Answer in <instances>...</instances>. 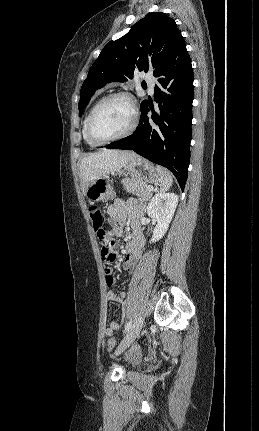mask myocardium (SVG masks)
Segmentation results:
<instances>
[{
    "mask_svg": "<svg viewBox=\"0 0 259 431\" xmlns=\"http://www.w3.org/2000/svg\"><path fill=\"white\" fill-rule=\"evenodd\" d=\"M114 99H124L129 103V105L131 107V111H132V123L125 132H123L117 136L107 138V139H99L94 135V132H93V123H94L95 117H96L97 113L99 112V110L106 103H108L109 101L114 100ZM138 124H139V115L137 112L136 103H135L134 98L127 92L111 93V94L103 97L92 109V111L89 115V118H88V122H87V136L90 139V141L93 142L94 144L103 145V144L118 141V140H121V139H124V138L130 136L137 129Z\"/></svg>",
    "mask_w": 259,
    "mask_h": 431,
    "instance_id": "f54148a6",
    "label": "myocardium"
}]
</instances>
